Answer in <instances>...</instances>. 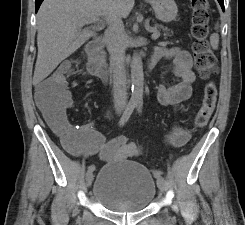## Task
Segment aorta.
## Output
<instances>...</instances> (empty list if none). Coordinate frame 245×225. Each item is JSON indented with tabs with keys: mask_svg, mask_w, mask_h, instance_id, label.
Listing matches in <instances>:
<instances>
[{
	"mask_svg": "<svg viewBox=\"0 0 245 225\" xmlns=\"http://www.w3.org/2000/svg\"><path fill=\"white\" fill-rule=\"evenodd\" d=\"M131 101L140 103L143 100L144 73L143 63L139 54H134L131 61Z\"/></svg>",
	"mask_w": 245,
	"mask_h": 225,
	"instance_id": "762f6f07",
	"label": "aorta"
}]
</instances>
